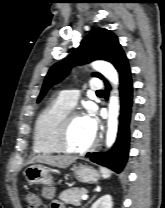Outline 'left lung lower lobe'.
I'll use <instances>...</instances> for the list:
<instances>
[{
	"instance_id": "obj_1",
	"label": "left lung lower lobe",
	"mask_w": 165,
	"mask_h": 208,
	"mask_svg": "<svg viewBox=\"0 0 165 208\" xmlns=\"http://www.w3.org/2000/svg\"><path fill=\"white\" fill-rule=\"evenodd\" d=\"M116 69L118 70L120 80V116L117 140L108 152L88 153L86 156L99 165L112 169L117 173H122L128 160L131 128L134 117L132 78L126 56L119 62ZM105 84L106 95L108 97V92L111 88L107 81H105Z\"/></svg>"
}]
</instances>
